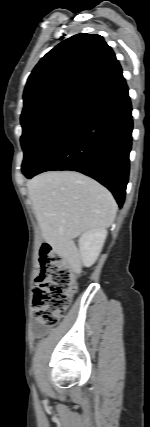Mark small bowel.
<instances>
[{
    "label": "small bowel",
    "mask_w": 150,
    "mask_h": 427,
    "mask_svg": "<svg viewBox=\"0 0 150 427\" xmlns=\"http://www.w3.org/2000/svg\"><path fill=\"white\" fill-rule=\"evenodd\" d=\"M46 333V329L41 325H35L33 327V336L39 338Z\"/></svg>",
    "instance_id": "small-bowel-1"
}]
</instances>
